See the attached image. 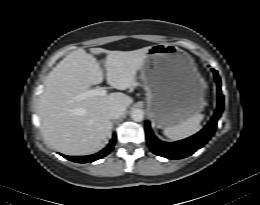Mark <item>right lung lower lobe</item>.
Listing matches in <instances>:
<instances>
[{"mask_svg": "<svg viewBox=\"0 0 260 205\" xmlns=\"http://www.w3.org/2000/svg\"><path fill=\"white\" fill-rule=\"evenodd\" d=\"M116 141V135H113L112 140L110 141L109 145L103 149L102 151H100L97 154L94 155H89V156H66L63 155L65 158H67L68 160L77 162V163H89V162H93L95 160H98L104 156H106L107 154L110 153V151L112 150L114 143Z\"/></svg>", "mask_w": 260, "mask_h": 205, "instance_id": "98d812e1", "label": "right lung lower lobe"}]
</instances>
